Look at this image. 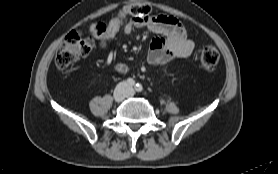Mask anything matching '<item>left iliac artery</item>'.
Returning a JSON list of instances; mask_svg holds the SVG:
<instances>
[{"instance_id": "obj_1", "label": "left iliac artery", "mask_w": 278, "mask_h": 174, "mask_svg": "<svg viewBox=\"0 0 278 174\" xmlns=\"http://www.w3.org/2000/svg\"><path fill=\"white\" fill-rule=\"evenodd\" d=\"M135 90H136L137 92H141V91L143 90L142 85L139 84V83H137L136 86H135Z\"/></svg>"}]
</instances>
